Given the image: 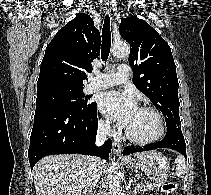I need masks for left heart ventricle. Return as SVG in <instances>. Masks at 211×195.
Wrapping results in <instances>:
<instances>
[{
    "label": "left heart ventricle",
    "instance_id": "obj_1",
    "mask_svg": "<svg viewBox=\"0 0 211 195\" xmlns=\"http://www.w3.org/2000/svg\"><path fill=\"white\" fill-rule=\"evenodd\" d=\"M127 129L133 136L146 139L158 133L160 123L157 116L152 112L138 109Z\"/></svg>",
    "mask_w": 211,
    "mask_h": 195
}]
</instances>
